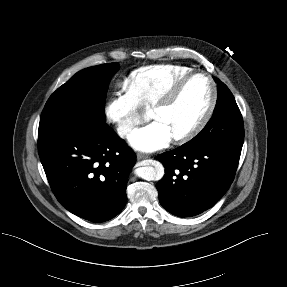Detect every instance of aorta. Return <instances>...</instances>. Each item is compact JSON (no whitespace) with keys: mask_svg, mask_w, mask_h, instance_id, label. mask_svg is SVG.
<instances>
[{"mask_svg":"<svg viewBox=\"0 0 287 287\" xmlns=\"http://www.w3.org/2000/svg\"><path fill=\"white\" fill-rule=\"evenodd\" d=\"M138 177L147 180H160L164 176V167L161 163H157L153 166L146 165L139 167L135 170Z\"/></svg>","mask_w":287,"mask_h":287,"instance_id":"aorta-1","label":"aorta"}]
</instances>
